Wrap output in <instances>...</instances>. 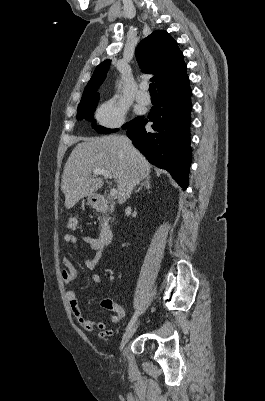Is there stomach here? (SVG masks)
I'll return each mask as SVG.
<instances>
[{
	"label": "stomach",
	"instance_id": "stomach-1",
	"mask_svg": "<svg viewBox=\"0 0 265 401\" xmlns=\"http://www.w3.org/2000/svg\"><path fill=\"white\" fill-rule=\"evenodd\" d=\"M95 198H92V196H89L88 198V205H92V207H94L95 203Z\"/></svg>",
	"mask_w": 265,
	"mask_h": 401
}]
</instances>
